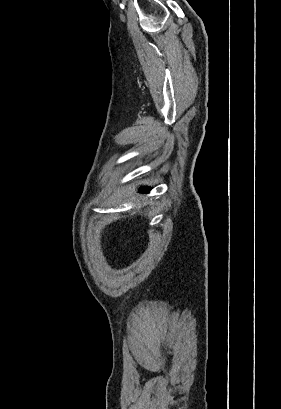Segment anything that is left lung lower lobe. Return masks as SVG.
Here are the masks:
<instances>
[{
  "label": "left lung lower lobe",
  "mask_w": 281,
  "mask_h": 409,
  "mask_svg": "<svg viewBox=\"0 0 281 409\" xmlns=\"http://www.w3.org/2000/svg\"><path fill=\"white\" fill-rule=\"evenodd\" d=\"M150 188H143L140 192H148Z\"/></svg>",
  "instance_id": "left-lung-lower-lobe-1"
}]
</instances>
